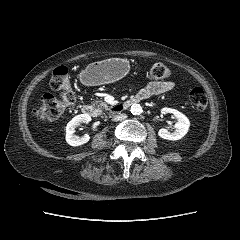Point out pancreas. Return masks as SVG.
<instances>
[{"label": "pancreas", "mask_w": 240, "mask_h": 240, "mask_svg": "<svg viewBox=\"0 0 240 240\" xmlns=\"http://www.w3.org/2000/svg\"><path fill=\"white\" fill-rule=\"evenodd\" d=\"M93 106L97 107L99 111H102L103 109L105 110H109V106L107 105V103L103 102V101H94L92 103Z\"/></svg>", "instance_id": "1"}]
</instances>
